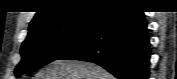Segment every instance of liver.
Segmentation results:
<instances>
[{
	"mask_svg": "<svg viewBox=\"0 0 177 79\" xmlns=\"http://www.w3.org/2000/svg\"><path fill=\"white\" fill-rule=\"evenodd\" d=\"M34 79H113V76L91 62L55 60L42 68Z\"/></svg>",
	"mask_w": 177,
	"mask_h": 79,
	"instance_id": "liver-1",
	"label": "liver"
}]
</instances>
